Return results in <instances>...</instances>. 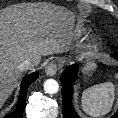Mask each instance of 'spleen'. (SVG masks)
<instances>
[{
  "label": "spleen",
  "instance_id": "1",
  "mask_svg": "<svg viewBox=\"0 0 118 118\" xmlns=\"http://www.w3.org/2000/svg\"><path fill=\"white\" fill-rule=\"evenodd\" d=\"M113 99L112 85L101 83L86 89L83 94L82 106L86 113L97 117L108 112Z\"/></svg>",
  "mask_w": 118,
  "mask_h": 118
}]
</instances>
